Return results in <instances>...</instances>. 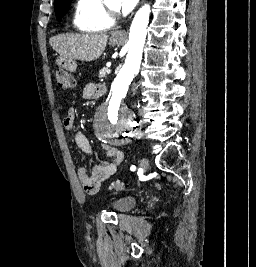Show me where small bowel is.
<instances>
[{"label":"small bowel","instance_id":"small-bowel-1","mask_svg":"<svg viewBox=\"0 0 256 267\" xmlns=\"http://www.w3.org/2000/svg\"><path fill=\"white\" fill-rule=\"evenodd\" d=\"M104 88L95 83L87 84L82 90V97L87 100L95 99L103 95ZM76 116V110L70 108L67 111V115L64 118V127L72 131V139L75 144L86 154H92L93 149L87 139V137L79 131L73 130L74 120ZM102 150L105 153L106 158L99 161L94 167L88 171L85 168L78 170V179L83 190L88 194H95L99 191L103 181L109 179L115 174L118 165L123 161V152L110 145L103 144Z\"/></svg>","mask_w":256,"mask_h":267}]
</instances>
